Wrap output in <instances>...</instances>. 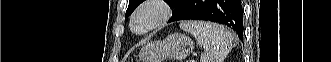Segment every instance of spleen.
Wrapping results in <instances>:
<instances>
[{"instance_id": "3e777b00", "label": "spleen", "mask_w": 331, "mask_h": 62, "mask_svg": "<svg viewBox=\"0 0 331 62\" xmlns=\"http://www.w3.org/2000/svg\"><path fill=\"white\" fill-rule=\"evenodd\" d=\"M180 28L193 35L204 49L201 62H222L234 47V36L224 26L206 21H182Z\"/></svg>"}]
</instances>
